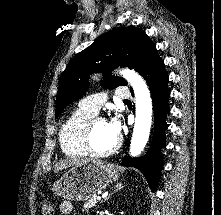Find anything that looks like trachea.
<instances>
[{
  "instance_id": "3493384b",
  "label": "trachea",
  "mask_w": 221,
  "mask_h": 215,
  "mask_svg": "<svg viewBox=\"0 0 221 215\" xmlns=\"http://www.w3.org/2000/svg\"><path fill=\"white\" fill-rule=\"evenodd\" d=\"M124 102H129V100H124Z\"/></svg>"
}]
</instances>
